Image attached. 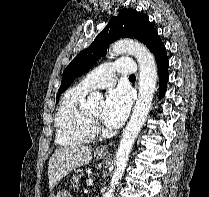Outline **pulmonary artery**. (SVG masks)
<instances>
[{"mask_svg": "<svg viewBox=\"0 0 209 197\" xmlns=\"http://www.w3.org/2000/svg\"><path fill=\"white\" fill-rule=\"evenodd\" d=\"M136 72V65L132 58L122 57L114 62L104 63L93 71L89 72L80 82V85L89 90L105 88L115 82V73L133 74Z\"/></svg>", "mask_w": 209, "mask_h": 197, "instance_id": "obj_1", "label": "pulmonary artery"}]
</instances>
